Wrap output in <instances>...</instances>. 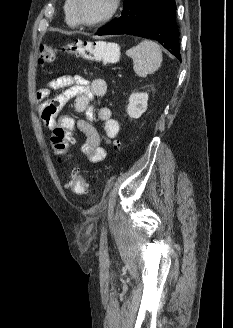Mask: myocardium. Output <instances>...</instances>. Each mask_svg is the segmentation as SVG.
Masks as SVG:
<instances>
[{"label":"myocardium","instance_id":"myocardium-1","mask_svg":"<svg viewBox=\"0 0 233 328\" xmlns=\"http://www.w3.org/2000/svg\"><path fill=\"white\" fill-rule=\"evenodd\" d=\"M79 5H80V0H74V14L78 25L85 26V27H98L107 23L108 21H110L112 18L115 17V15L120 9L121 0H112L111 8L109 12L103 18L95 22H87L82 19L79 11Z\"/></svg>","mask_w":233,"mask_h":328}]
</instances>
